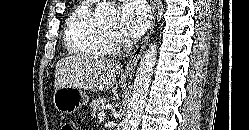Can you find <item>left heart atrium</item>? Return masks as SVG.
<instances>
[{
  "instance_id": "39dd6f15",
  "label": "left heart atrium",
  "mask_w": 249,
  "mask_h": 130,
  "mask_svg": "<svg viewBox=\"0 0 249 130\" xmlns=\"http://www.w3.org/2000/svg\"><path fill=\"white\" fill-rule=\"evenodd\" d=\"M122 32L130 37L137 38L144 33L150 22V12L144 2L133 1L121 6L119 10Z\"/></svg>"
}]
</instances>
